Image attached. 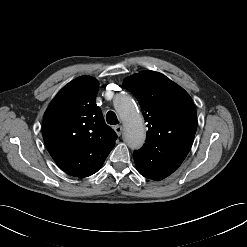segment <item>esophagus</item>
Here are the masks:
<instances>
[{"mask_svg":"<svg viewBox=\"0 0 247 247\" xmlns=\"http://www.w3.org/2000/svg\"><path fill=\"white\" fill-rule=\"evenodd\" d=\"M114 130H115L116 134H117L118 136H120L121 133H122L123 128H122L121 125H116V126L114 127Z\"/></svg>","mask_w":247,"mask_h":247,"instance_id":"esophagus-1","label":"esophagus"}]
</instances>
